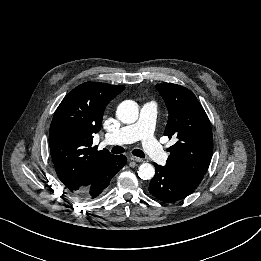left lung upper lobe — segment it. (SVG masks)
Masks as SVG:
<instances>
[{"instance_id":"left-lung-upper-lobe-1","label":"left lung upper lobe","mask_w":261,"mask_h":261,"mask_svg":"<svg viewBox=\"0 0 261 261\" xmlns=\"http://www.w3.org/2000/svg\"><path fill=\"white\" fill-rule=\"evenodd\" d=\"M165 100L169 119L164 135L177 142L167 149L166 168L182 187L193 192L206 173L213 152L210 121L196 96L172 83L156 85Z\"/></svg>"}]
</instances>
